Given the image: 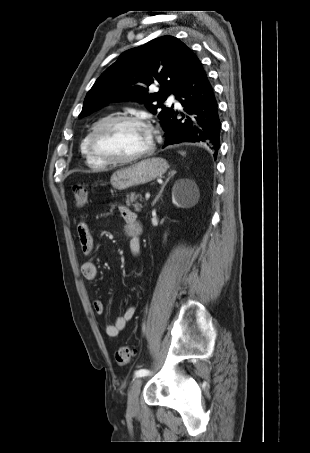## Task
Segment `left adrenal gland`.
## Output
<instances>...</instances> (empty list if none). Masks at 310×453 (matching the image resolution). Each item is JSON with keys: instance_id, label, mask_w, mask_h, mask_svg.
Listing matches in <instances>:
<instances>
[{"instance_id": "left-adrenal-gland-1", "label": "left adrenal gland", "mask_w": 310, "mask_h": 453, "mask_svg": "<svg viewBox=\"0 0 310 453\" xmlns=\"http://www.w3.org/2000/svg\"><path fill=\"white\" fill-rule=\"evenodd\" d=\"M174 174H176V171L175 170H170L168 172V178L166 179L165 183L162 185L161 187V190L159 191L158 195L155 197L154 201L152 202V206H154L156 204V202L159 200V198L161 197L162 195V192L164 190V187L166 186V184L168 183V181L170 180V178L172 176H174Z\"/></svg>"}]
</instances>
